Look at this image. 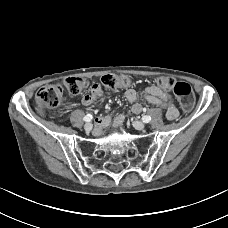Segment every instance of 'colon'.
I'll list each match as a JSON object with an SVG mask.
<instances>
[{
	"mask_svg": "<svg viewBox=\"0 0 228 228\" xmlns=\"http://www.w3.org/2000/svg\"><path fill=\"white\" fill-rule=\"evenodd\" d=\"M102 84L109 89L128 87L132 84L131 78L125 75L107 74L101 78ZM66 90L71 95L83 92L88 82L80 77H69L64 81ZM158 87L172 89L181 107L189 111L195 104V96L192 87L186 82H176L170 77H159ZM63 90L59 85H48L40 88L36 93V106L39 113L44 114L59 106L62 100Z\"/></svg>",
	"mask_w": 228,
	"mask_h": 228,
	"instance_id": "1",
	"label": "colon"
}]
</instances>
